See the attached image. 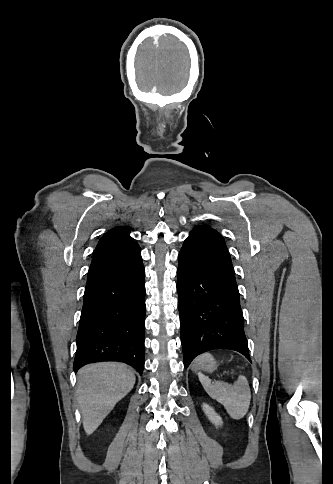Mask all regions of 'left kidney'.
Masks as SVG:
<instances>
[{
    "label": "left kidney",
    "instance_id": "1",
    "mask_svg": "<svg viewBox=\"0 0 333 484\" xmlns=\"http://www.w3.org/2000/svg\"><path fill=\"white\" fill-rule=\"evenodd\" d=\"M203 411L208 416L209 420L214 423L216 426L222 425L221 417L214 411L212 407L207 404L203 405Z\"/></svg>",
    "mask_w": 333,
    "mask_h": 484
}]
</instances>
